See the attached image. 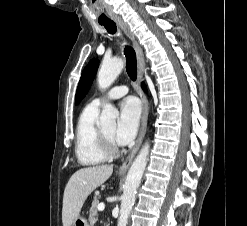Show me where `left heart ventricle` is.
Segmentation results:
<instances>
[{"instance_id": "left-heart-ventricle-1", "label": "left heart ventricle", "mask_w": 247, "mask_h": 226, "mask_svg": "<svg viewBox=\"0 0 247 226\" xmlns=\"http://www.w3.org/2000/svg\"><path fill=\"white\" fill-rule=\"evenodd\" d=\"M114 126H110V127H107V128H103L102 131L103 133L105 134V136L113 143L114 140H113V133H114Z\"/></svg>"}]
</instances>
